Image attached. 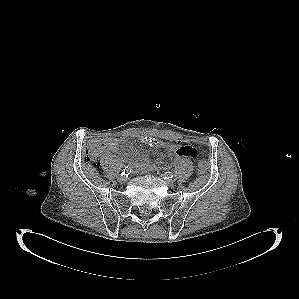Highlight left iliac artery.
<instances>
[{
	"mask_svg": "<svg viewBox=\"0 0 299 299\" xmlns=\"http://www.w3.org/2000/svg\"><path fill=\"white\" fill-rule=\"evenodd\" d=\"M164 176L165 179H172L174 177L172 172H165Z\"/></svg>",
	"mask_w": 299,
	"mask_h": 299,
	"instance_id": "obj_1",
	"label": "left iliac artery"
}]
</instances>
